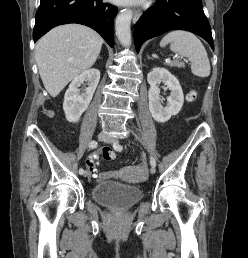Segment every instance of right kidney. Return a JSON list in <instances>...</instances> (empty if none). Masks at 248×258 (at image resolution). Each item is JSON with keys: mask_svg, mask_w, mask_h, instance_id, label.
<instances>
[{"mask_svg": "<svg viewBox=\"0 0 248 258\" xmlns=\"http://www.w3.org/2000/svg\"><path fill=\"white\" fill-rule=\"evenodd\" d=\"M100 80V72L97 69H88L73 79L67 89L63 109L66 119L69 122H78L83 112H85L92 100L93 94ZM84 82H88L85 92L80 94L79 87Z\"/></svg>", "mask_w": 248, "mask_h": 258, "instance_id": "1", "label": "right kidney"}]
</instances>
